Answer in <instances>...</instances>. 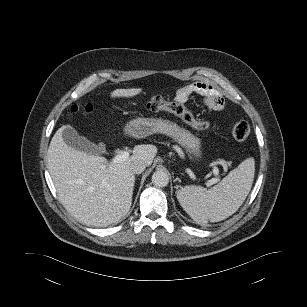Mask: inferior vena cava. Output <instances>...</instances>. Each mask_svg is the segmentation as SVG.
Instances as JSON below:
<instances>
[{"label":"inferior vena cava","mask_w":307,"mask_h":307,"mask_svg":"<svg viewBox=\"0 0 307 307\" xmlns=\"http://www.w3.org/2000/svg\"><path fill=\"white\" fill-rule=\"evenodd\" d=\"M146 168V164L143 161H135L131 164L130 169L134 174H140Z\"/></svg>","instance_id":"obj_1"}]
</instances>
